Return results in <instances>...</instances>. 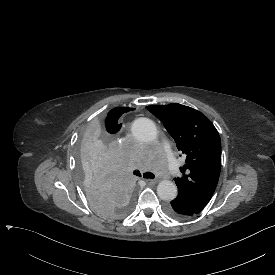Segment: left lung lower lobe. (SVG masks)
<instances>
[{"label": "left lung lower lobe", "mask_w": 275, "mask_h": 275, "mask_svg": "<svg viewBox=\"0 0 275 275\" xmlns=\"http://www.w3.org/2000/svg\"><path fill=\"white\" fill-rule=\"evenodd\" d=\"M204 207L193 203L189 199L176 198L167 206V213L176 219H185L201 212Z\"/></svg>", "instance_id": "obj_1"}]
</instances>
